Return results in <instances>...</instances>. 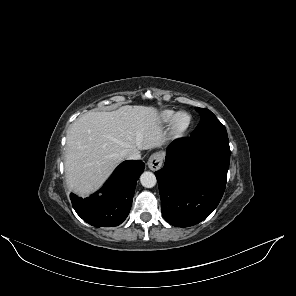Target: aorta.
Wrapping results in <instances>:
<instances>
[{
  "label": "aorta",
  "instance_id": "obj_1",
  "mask_svg": "<svg viewBox=\"0 0 296 296\" xmlns=\"http://www.w3.org/2000/svg\"><path fill=\"white\" fill-rule=\"evenodd\" d=\"M140 182L145 188H152L156 185V176L152 172H144L140 176Z\"/></svg>",
  "mask_w": 296,
  "mask_h": 296
}]
</instances>
